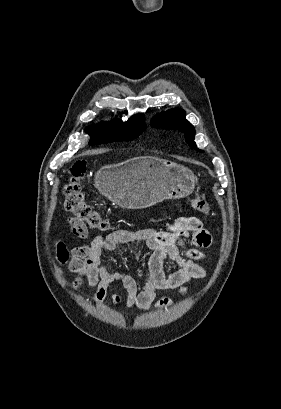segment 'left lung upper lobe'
<instances>
[{
	"mask_svg": "<svg viewBox=\"0 0 281 409\" xmlns=\"http://www.w3.org/2000/svg\"><path fill=\"white\" fill-rule=\"evenodd\" d=\"M151 126L155 128H164L179 130L185 134L186 142L193 148L196 144L193 141L195 130L192 124L185 119V112L182 109H171L167 112L160 113L155 116L151 122ZM199 150V149H198ZM203 152V150H199Z\"/></svg>",
	"mask_w": 281,
	"mask_h": 409,
	"instance_id": "5c2ea615",
	"label": "left lung upper lobe"
}]
</instances>
